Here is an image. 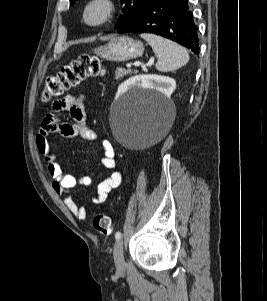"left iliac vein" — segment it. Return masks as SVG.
Returning <instances> with one entry per match:
<instances>
[{"mask_svg": "<svg viewBox=\"0 0 267 301\" xmlns=\"http://www.w3.org/2000/svg\"><path fill=\"white\" fill-rule=\"evenodd\" d=\"M113 256H114V262H115L116 268L119 271H123L125 268V260H124V255H123L122 238H119L116 240V242L114 244Z\"/></svg>", "mask_w": 267, "mask_h": 301, "instance_id": "1", "label": "left iliac vein"}]
</instances>
